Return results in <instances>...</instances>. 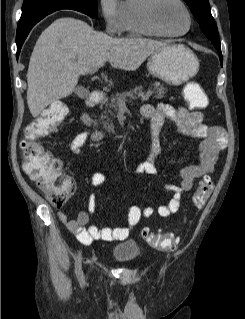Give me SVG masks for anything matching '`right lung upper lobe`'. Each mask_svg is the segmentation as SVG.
Here are the masks:
<instances>
[{
    "label": "right lung upper lobe",
    "instance_id": "obj_1",
    "mask_svg": "<svg viewBox=\"0 0 245 319\" xmlns=\"http://www.w3.org/2000/svg\"><path fill=\"white\" fill-rule=\"evenodd\" d=\"M41 17H43V15H42V16H40V17H37V18H35V19H38V18H41Z\"/></svg>",
    "mask_w": 245,
    "mask_h": 319
}]
</instances>
